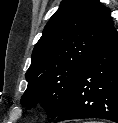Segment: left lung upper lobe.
Listing matches in <instances>:
<instances>
[{"instance_id":"5c2ea615","label":"left lung upper lobe","mask_w":118,"mask_h":123,"mask_svg":"<svg viewBox=\"0 0 118 123\" xmlns=\"http://www.w3.org/2000/svg\"><path fill=\"white\" fill-rule=\"evenodd\" d=\"M112 27L110 10L99 0H63L33 49L22 105L41 102L48 117L55 119L82 68Z\"/></svg>"}]
</instances>
